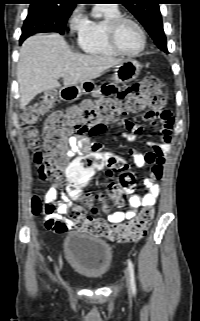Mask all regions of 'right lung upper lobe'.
I'll list each match as a JSON object with an SVG mask.
<instances>
[{"label": "right lung upper lobe", "instance_id": "1", "mask_svg": "<svg viewBox=\"0 0 200 321\" xmlns=\"http://www.w3.org/2000/svg\"><path fill=\"white\" fill-rule=\"evenodd\" d=\"M31 5H47L59 10H73L81 0H30Z\"/></svg>", "mask_w": 200, "mask_h": 321}]
</instances>
